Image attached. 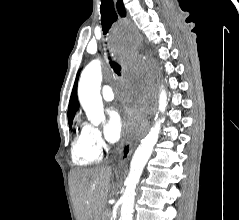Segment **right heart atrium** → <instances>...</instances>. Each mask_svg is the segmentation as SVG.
I'll list each match as a JSON object with an SVG mask.
<instances>
[{
	"instance_id": "right-heart-atrium-1",
	"label": "right heart atrium",
	"mask_w": 239,
	"mask_h": 220,
	"mask_svg": "<svg viewBox=\"0 0 239 220\" xmlns=\"http://www.w3.org/2000/svg\"><path fill=\"white\" fill-rule=\"evenodd\" d=\"M87 134L92 145L99 151L102 152L106 149V143L102 137V134L98 127L93 125H86Z\"/></svg>"
}]
</instances>
